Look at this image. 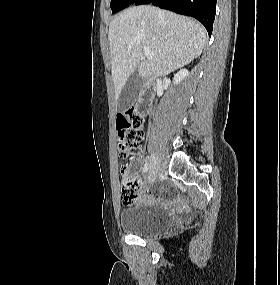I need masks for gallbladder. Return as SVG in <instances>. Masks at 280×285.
<instances>
[{
  "label": "gallbladder",
  "mask_w": 280,
  "mask_h": 285,
  "mask_svg": "<svg viewBox=\"0 0 280 285\" xmlns=\"http://www.w3.org/2000/svg\"><path fill=\"white\" fill-rule=\"evenodd\" d=\"M142 84L143 80L137 73L132 74L128 78L117 101V109L119 112H124L136 102L139 97Z\"/></svg>",
  "instance_id": "gallbladder-1"
}]
</instances>
